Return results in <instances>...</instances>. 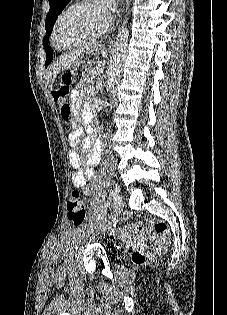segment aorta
Here are the masks:
<instances>
[{"label":"aorta","mask_w":227,"mask_h":315,"mask_svg":"<svg viewBox=\"0 0 227 315\" xmlns=\"http://www.w3.org/2000/svg\"><path fill=\"white\" fill-rule=\"evenodd\" d=\"M130 0H126V12L129 10ZM128 19L123 21L122 27L118 32L116 42L111 51V58L107 70V90L113 91L120 81L123 65L127 54V43L129 39V30L126 27Z\"/></svg>","instance_id":"1"}]
</instances>
